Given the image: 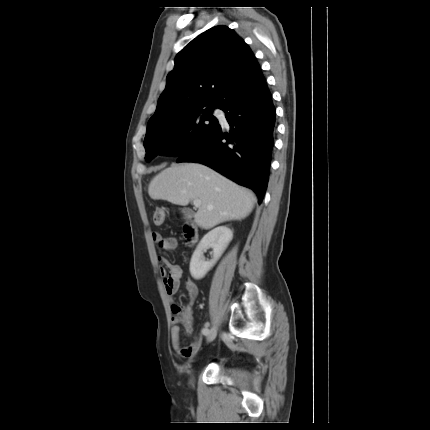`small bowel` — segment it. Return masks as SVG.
Instances as JSON below:
<instances>
[{
	"instance_id": "c3829d8e",
	"label": "small bowel",
	"mask_w": 430,
	"mask_h": 430,
	"mask_svg": "<svg viewBox=\"0 0 430 430\" xmlns=\"http://www.w3.org/2000/svg\"><path fill=\"white\" fill-rule=\"evenodd\" d=\"M153 240L156 242L159 247L165 251H173L177 248V241L175 238L163 237L159 233H153ZM166 267L169 269V274H166ZM159 270L162 276V284L165 286V292L168 295H175L178 293L182 287L185 286L187 298L189 303L186 306V313L184 316L186 326L189 329H192V317L190 314L191 311V301H193L198 295V286L197 284L190 278H184L183 269L176 264H170L168 261L164 259H160ZM173 326L171 329V346L174 350L175 354L184 359H193L198 353L201 347V339L197 338L194 342L186 347H181L179 341V323L181 319L179 317L174 316L172 318ZM209 323L206 322L201 329V333L204 335V330L208 329Z\"/></svg>"
}]
</instances>
